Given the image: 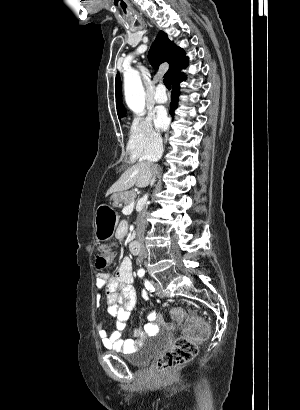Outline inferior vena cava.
I'll use <instances>...</instances> for the list:
<instances>
[{
    "label": "inferior vena cava",
    "mask_w": 300,
    "mask_h": 410,
    "mask_svg": "<svg viewBox=\"0 0 300 410\" xmlns=\"http://www.w3.org/2000/svg\"><path fill=\"white\" fill-rule=\"evenodd\" d=\"M151 147L152 149L149 150L145 155L143 156L142 161L140 162L142 165H149L152 166V162L157 161L162 152L163 144H162V138L160 136L155 137L151 141ZM155 179L153 178L151 180V185H153ZM147 195L143 197V200H147ZM145 216H146V209L143 208L138 216H137V223H138V228H137V242L139 244L140 248V255L139 259L140 261H143V259L146 257V252H145V244H146V239L144 238V232H145Z\"/></svg>",
    "instance_id": "obj_1"
}]
</instances>
